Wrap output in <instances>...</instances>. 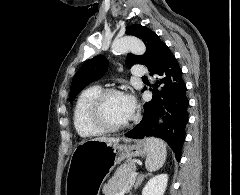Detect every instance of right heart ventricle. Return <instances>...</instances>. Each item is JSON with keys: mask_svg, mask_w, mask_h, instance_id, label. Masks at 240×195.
Wrapping results in <instances>:
<instances>
[{"mask_svg": "<svg viewBox=\"0 0 240 195\" xmlns=\"http://www.w3.org/2000/svg\"><path fill=\"white\" fill-rule=\"evenodd\" d=\"M102 91L100 86L85 89L77 99L74 109V125L81 137L93 138L104 134L90 119V105L94 98Z\"/></svg>", "mask_w": 240, "mask_h": 195, "instance_id": "1", "label": "right heart ventricle"}]
</instances>
